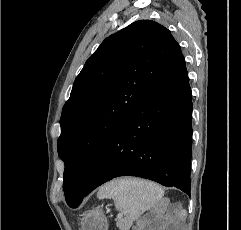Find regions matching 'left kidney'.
Listing matches in <instances>:
<instances>
[{
	"label": "left kidney",
	"mask_w": 241,
	"mask_h": 230,
	"mask_svg": "<svg viewBox=\"0 0 241 230\" xmlns=\"http://www.w3.org/2000/svg\"><path fill=\"white\" fill-rule=\"evenodd\" d=\"M148 230V228L145 226V227H142V226H140L139 228H137L136 230Z\"/></svg>",
	"instance_id": "obj_1"
}]
</instances>
